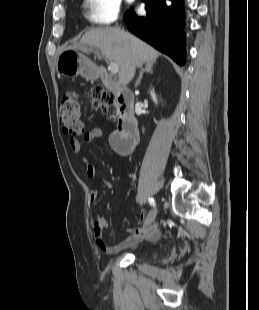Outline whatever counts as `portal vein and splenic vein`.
Segmentation results:
<instances>
[{
    "label": "portal vein and splenic vein",
    "mask_w": 259,
    "mask_h": 310,
    "mask_svg": "<svg viewBox=\"0 0 259 310\" xmlns=\"http://www.w3.org/2000/svg\"><path fill=\"white\" fill-rule=\"evenodd\" d=\"M108 69L112 74H116L119 71L118 64L115 62H110Z\"/></svg>",
    "instance_id": "portal-vein-and-splenic-vein-1"
}]
</instances>
